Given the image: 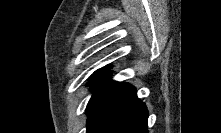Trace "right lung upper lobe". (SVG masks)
<instances>
[{
    "label": "right lung upper lobe",
    "instance_id": "cb5924a9",
    "mask_svg": "<svg viewBox=\"0 0 221 133\" xmlns=\"http://www.w3.org/2000/svg\"><path fill=\"white\" fill-rule=\"evenodd\" d=\"M107 70H108V68L99 69V70H97L93 75L101 76V75L105 74V72H106Z\"/></svg>",
    "mask_w": 221,
    "mask_h": 133
}]
</instances>
